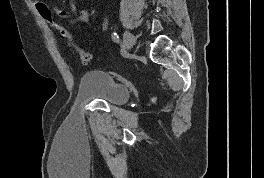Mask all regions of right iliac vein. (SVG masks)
Instances as JSON below:
<instances>
[{
	"label": "right iliac vein",
	"mask_w": 264,
	"mask_h": 178,
	"mask_svg": "<svg viewBox=\"0 0 264 178\" xmlns=\"http://www.w3.org/2000/svg\"><path fill=\"white\" fill-rule=\"evenodd\" d=\"M123 37L127 49H130L135 43L134 36L129 31H125Z\"/></svg>",
	"instance_id": "obj_1"
}]
</instances>
